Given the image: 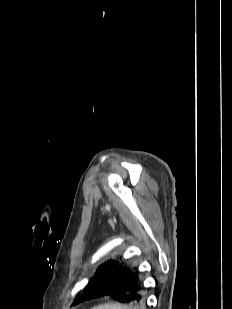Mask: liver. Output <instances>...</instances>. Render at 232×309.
<instances>
[{"label":"liver","instance_id":"1","mask_svg":"<svg viewBox=\"0 0 232 309\" xmlns=\"http://www.w3.org/2000/svg\"><path fill=\"white\" fill-rule=\"evenodd\" d=\"M92 309H132L129 306H124L120 303H106L99 306H95Z\"/></svg>","mask_w":232,"mask_h":309}]
</instances>
